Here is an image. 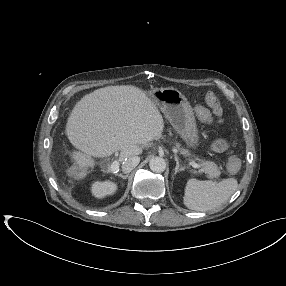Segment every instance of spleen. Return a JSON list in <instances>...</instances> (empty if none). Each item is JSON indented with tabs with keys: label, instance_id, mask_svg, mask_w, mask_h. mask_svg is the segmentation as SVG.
I'll use <instances>...</instances> for the list:
<instances>
[{
	"label": "spleen",
	"instance_id": "obj_1",
	"mask_svg": "<svg viewBox=\"0 0 286 286\" xmlns=\"http://www.w3.org/2000/svg\"><path fill=\"white\" fill-rule=\"evenodd\" d=\"M237 187L238 182L234 178L220 182L192 178L186 183L183 202L191 210L202 212L213 210L226 203Z\"/></svg>",
	"mask_w": 286,
	"mask_h": 286
}]
</instances>
